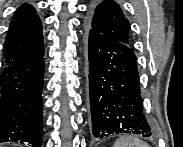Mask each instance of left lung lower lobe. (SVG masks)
I'll list each match as a JSON object with an SVG mask.
<instances>
[{
  "mask_svg": "<svg viewBox=\"0 0 183 147\" xmlns=\"http://www.w3.org/2000/svg\"><path fill=\"white\" fill-rule=\"evenodd\" d=\"M85 42L93 135L151 136L153 129L142 111L137 62L131 47L93 30L86 32Z\"/></svg>",
  "mask_w": 183,
  "mask_h": 147,
  "instance_id": "0a47b994",
  "label": "left lung lower lobe"
}]
</instances>
